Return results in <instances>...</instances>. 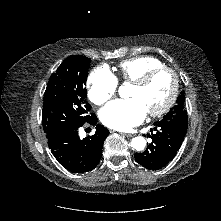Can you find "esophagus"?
<instances>
[{"mask_svg":"<svg viewBox=\"0 0 221 221\" xmlns=\"http://www.w3.org/2000/svg\"><path fill=\"white\" fill-rule=\"evenodd\" d=\"M122 135H124L126 137H132L133 136L132 134H129V133H123Z\"/></svg>","mask_w":221,"mask_h":221,"instance_id":"34e87169","label":"esophagus"}]
</instances>
